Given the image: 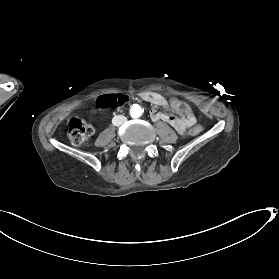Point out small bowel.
Instances as JSON below:
<instances>
[{"label":"small bowel","mask_w":279,"mask_h":279,"mask_svg":"<svg viewBox=\"0 0 279 279\" xmlns=\"http://www.w3.org/2000/svg\"><path fill=\"white\" fill-rule=\"evenodd\" d=\"M142 98L146 101L152 103L156 107L162 108H172L175 109L176 105L178 104V100L176 98H171L167 100L164 96L154 92H147L142 94ZM150 116L153 120H161L169 125H171L180 135L186 133V131L192 127L196 120L193 116L189 118H178L175 115H168L158 111L156 108H152L150 111Z\"/></svg>","instance_id":"c3829d8e"}]
</instances>
